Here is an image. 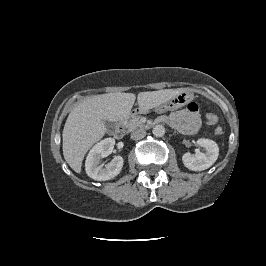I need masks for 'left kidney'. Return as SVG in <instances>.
Returning a JSON list of instances; mask_svg holds the SVG:
<instances>
[{"label":"left kidney","mask_w":266,"mask_h":266,"mask_svg":"<svg viewBox=\"0 0 266 266\" xmlns=\"http://www.w3.org/2000/svg\"><path fill=\"white\" fill-rule=\"evenodd\" d=\"M197 144L205 149V152H199L196 155L185 153L182 161L185 167L193 171H202L212 166L218 158L219 148L215 141L200 138Z\"/></svg>","instance_id":"5707ae66"}]
</instances>
